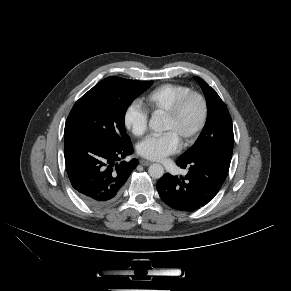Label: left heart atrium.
<instances>
[{"instance_id":"39dd6f15","label":"left heart atrium","mask_w":291,"mask_h":291,"mask_svg":"<svg viewBox=\"0 0 291 291\" xmlns=\"http://www.w3.org/2000/svg\"><path fill=\"white\" fill-rule=\"evenodd\" d=\"M180 147V140L173 131L161 135H149L137 146L140 156L149 160H161L175 153Z\"/></svg>"}]
</instances>
